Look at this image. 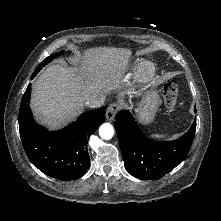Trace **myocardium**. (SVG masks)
Returning <instances> with one entry per match:
<instances>
[{
    "label": "myocardium",
    "mask_w": 221,
    "mask_h": 221,
    "mask_svg": "<svg viewBox=\"0 0 221 221\" xmlns=\"http://www.w3.org/2000/svg\"><path fill=\"white\" fill-rule=\"evenodd\" d=\"M155 65L150 61H144L137 72V77L141 82L150 81L155 75Z\"/></svg>",
    "instance_id": "myocardium-1"
}]
</instances>
